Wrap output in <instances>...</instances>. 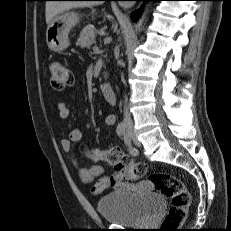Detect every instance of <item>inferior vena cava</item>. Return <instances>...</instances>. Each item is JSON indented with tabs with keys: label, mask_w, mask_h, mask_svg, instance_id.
<instances>
[{
	"label": "inferior vena cava",
	"mask_w": 231,
	"mask_h": 231,
	"mask_svg": "<svg viewBox=\"0 0 231 231\" xmlns=\"http://www.w3.org/2000/svg\"><path fill=\"white\" fill-rule=\"evenodd\" d=\"M124 122L127 126H131L132 125V120H131V116L130 113L128 111V107L126 104V99H125V106H124Z\"/></svg>",
	"instance_id": "1"
}]
</instances>
